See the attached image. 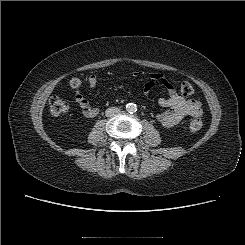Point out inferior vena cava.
Instances as JSON below:
<instances>
[{
    "mask_svg": "<svg viewBox=\"0 0 245 245\" xmlns=\"http://www.w3.org/2000/svg\"><path fill=\"white\" fill-rule=\"evenodd\" d=\"M120 113V110L116 107H110L108 108L106 111H105V115L107 117H113L115 116L116 114Z\"/></svg>",
    "mask_w": 245,
    "mask_h": 245,
    "instance_id": "inferior-vena-cava-1",
    "label": "inferior vena cava"
}]
</instances>
